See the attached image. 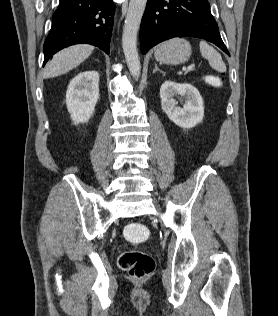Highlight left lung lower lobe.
<instances>
[{
    "instance_id": "1",
    "label": "left lung lower lobe",
    "mask_w": 278,
    "mask_h": 316,
    "mask_svg": "<svg viewBox=\"0 0 278 316\" xmlns=\"http://www.w3.org/2000/svg\"><path fill=\"white\" fill-rule=\"evenodd\" d=\"M208 40L229 56L208 0H148L140 27L141 52L173 37Z\"/></svg>"
}]
</instances>
